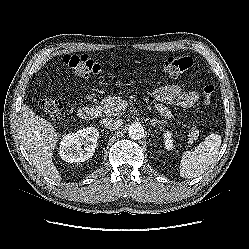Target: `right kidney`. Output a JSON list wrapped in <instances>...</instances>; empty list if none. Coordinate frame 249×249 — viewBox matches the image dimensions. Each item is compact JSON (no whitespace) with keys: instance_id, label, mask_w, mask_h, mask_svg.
Here are the masks:
<instances>
[{"instance_id":"1","label":"right kidney","mask_w":249,"mask_h":249,"mask_svg":"<svg viewBox=\"0 0 249 249\" xmlns=\"http://www.w3.org/2000/svg\"><path fill=\"white\" fill-rule=\"evenodd\" d=\"M98 137L99 131L94 127H86L76 133L65 135L60 142V157L68 163L89 159L95 152Z\"/></svg>"}]
</instances>
